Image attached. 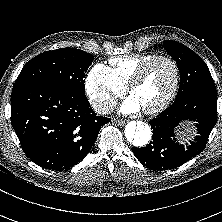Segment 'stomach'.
Listing matches in <instances>:
<instances>
[{"label":"stomach","instance_id":"obj_1","mask_svg":"<svg viewBox=\"0 0 222 222\" xmlns=\"http://www.w3.org/2000/svg\"><path fill=\"white\" fill-rule=\"evenodd\" d=\"M189 135H191V131H189V130L184 131V132H182V134H181V138H182L183 140H186V138H188Z\"/></svg>","mask_w":222,"mask_h":222}]
</instances>
